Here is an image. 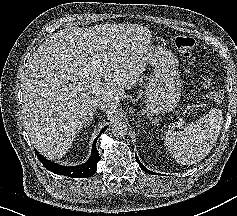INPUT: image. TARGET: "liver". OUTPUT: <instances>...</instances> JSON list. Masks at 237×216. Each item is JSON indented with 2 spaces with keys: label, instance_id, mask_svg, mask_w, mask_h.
I'll list each match as a JSON object with an SVG mask.
<instances>
[{
  "label": "liver",
  "instance_id": "obj_1",
  "mask_svg": "<svg viewBox=\"0 0 237 216\" xmlns=\"http://www.w3.org/2000/svg\"><path fill=\"white\" fill-rule=\"evenodd\" d=\"M22 80L25 130L36 148L65 152L83 125L93 119V103L119 104L144 67L123 63L109 25L70 26L39 46ZM112 111H106L107 117Z\"/></svg>",
  "mask_w": 237,
  "mask_h": 216
}]
</instances>
